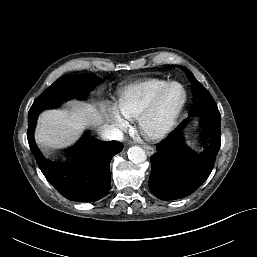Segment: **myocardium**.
Segmentation results:
<instances>
[{
  "label": "myocardium",
  "instance_id": "myocardium-1",
  "mask_svg": "<svg viewBox=\"0 0 257 257\" xmlns=\"http://www.w3.org/2000/svg\"><path fill=\"white\" fill-rule=\"evenodd\" d=\"M171 86H178L181 88L183 93L182 100L180 101L178 106L170 113H168L159 124L153 126L151 125V122L157 114L162 96L165 91ZM186 102L187 91L180 82L170 81L165 83L156 91V93L153 95L147 105L138 114L137 123L140 133L149 140H158L168 135L174 128L180 114L185 107Z\"/></svg>",
  "mask_w": 257,
  "mask_h": 257
}]
</instances>
